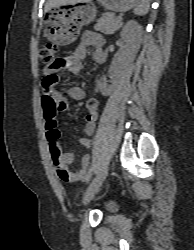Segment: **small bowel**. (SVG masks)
<instances>
[{
	"mask_svg": "<svg viewBox=\"0 0 194 250\" xmlns=\"http://www.w3.org/2000/svg\"><path fill=\"white\" fill-rule=\"evenodd\" d=\"M104 39L102 36L95 32H84L81 36V41L75 50L68 56L60 59L59 68L55 69L51 66L44 68L45 79L50 75H54L60 71H69L75 74H78L83 69V60L86 58L88 50L93 49V58L98 63H103L106 59L105 52L103 50ZM43 81V88L47 93L52 95L58 105L57 110H62L66 106V97L73 100H82L85 97V91L80 86H69L64 90H53V85H48ZM100 88L102 91H108L110 88V83L106 77H101ZM99 102L96 98H91L87 100L85 105V114L83 121L85 123V134L87 136L92 135L95 129V121L97 118ZM57 112V111H56ZM56 112L53 115L44 114L45 121V130L47 134V139L49 141V149L51 157L56 163L58 161L61 165L67 166L70 165L74 159L75 154L73 152H64L61 150L60 146L57 143V140L60 136L58 127H57V116ZM82 146L89 148L91 145L90 139L84 137L80 140ZM91 157L86 154L82 157L81 167L74 172H70V179L65 181H83L87 178V171L90 165Z\"/></svg>",
	"mask_w": 194,
	"mask_h": 250,
	"instance_id": "1",
	"label": "small bowel"
}]
</instances>
